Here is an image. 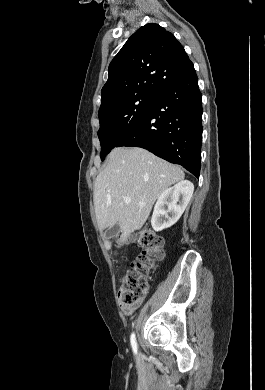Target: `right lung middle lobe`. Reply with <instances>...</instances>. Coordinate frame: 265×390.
Masks as SVG:
<instances>
[{
  "label": "right lung middle lobe",
  "instance_id": "1",
  "mask_svg": "<svg viewBox=\"0 0 265 390\" xmlns=\"http://www.w3.org/2000/svg\"><path fill=\"white\" fill-rule=\"evenodd\" d=\"M155 94H137L99 110L101 160L148 111Z\"/></svg>",
  "mask_w": 265,
  "mask_h": 390
}]
</instances>
